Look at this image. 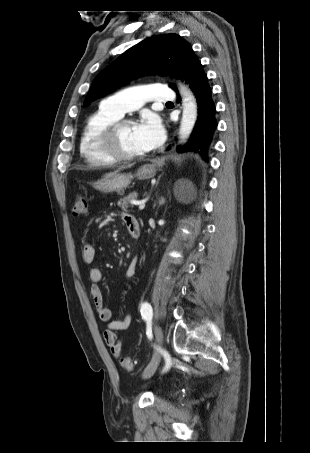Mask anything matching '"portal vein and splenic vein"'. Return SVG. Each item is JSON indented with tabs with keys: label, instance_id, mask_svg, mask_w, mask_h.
Listing matches in <instances>:
<instances>
[{
	"label": "portal vein and splenic vein",
	"instance_id": "18ae733b",
	"mask_svg": "<svg viewBox=\"0 0 310 453\" xmlns=\"http://www.w3.org/2000/svg\"><path fill=\"white\" fill-rule=\"evenodd\" d=\"M131 204H133V205H138L140 210H142V209L145 208V202H144V201H136V200H132V201H131Z\"/></svg>",
	"mask_w": 310,
	"mask_h": 453
}]
</instances>
